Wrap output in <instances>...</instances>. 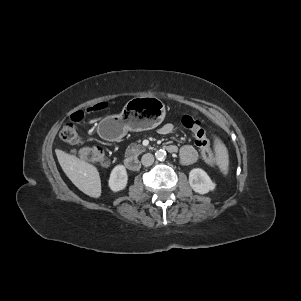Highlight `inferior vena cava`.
Segmentation results:
<instances>
[{
	"instance_id": "obj_1",
	"label": "inferior vena cava",
	"mask_w": 301,
	"mask_h": 301,
	"mask_svg": "<svg viewBox=\"0 0 301 301\" xmlns=\"http://www.w3.org/2000/svg\"><path fill=\"white\" fill-rule=\"evenodd\" d=\"M141 162L144 166H150L154 162V156L150 153H146L142 156Z\"/></svg>"
}]
</instances>
